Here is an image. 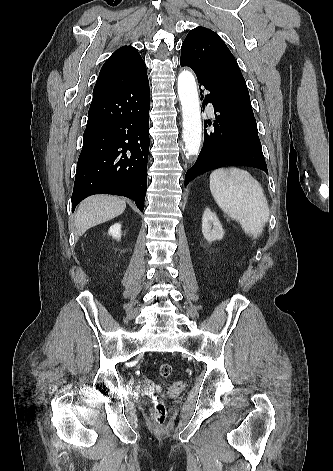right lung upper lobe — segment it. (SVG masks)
Returning <instances> with one entry per match:
<instances>
[{"mask_svg": "<svg viewBox=\"0 0 333 471\" xmlns=\"http://www.w3.org/2000/svg\"><path fill=\"white\" fill-rule=\"evenodd\" d=\"M146 74V65L138 50L123 46L102 66L94 86L93 100L123 91Z\"/></svg>", "mask_w": 333, "mask_h": 471, "instance_id": "right-lung-upper-lobe-1", "label": "right lung upper lobe"}]
</instances>
